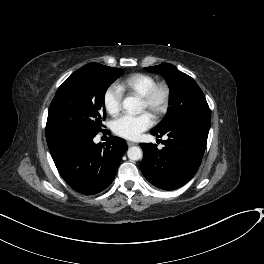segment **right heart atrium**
Here are the masks:
<instances>
[{"instance_id": "1", "label": "right heart atrium", "mask_w": 264, "mask_h": 264, "mask_svg": "<svg viewBox=\"0 0 264 264\" xmlns=\"http://www.w3.org/2000/svg\"><path fill=\"white\" fill-rule=\"evenodd\" d=\"M123 94L119 87H109L103 95V104L106 111L112 115H117L122 107Z\"/></svg>"}]
</instances>
